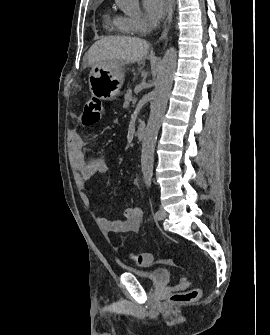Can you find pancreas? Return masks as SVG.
<instances>
[{"label": "pancreas", "instance_id": "cf45deb5", "mask_svg": "<svg viewBox=\"0 0 270 335\" xmlns=\"http://www.w3.org/2000/svg\"><path fill=\"white\" fill-rule=\"evenodd\" d=\"M130 102H132V90H127L124 98L123 108H128Z\"/></svg>", "mask_w": 270, "mask_h": 335}]
</instances>
